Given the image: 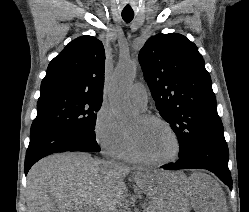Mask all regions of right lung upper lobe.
Wrapping results in <instances>:
<instances>
[{
    "instance_id": "1",
    "label": "right lung upper lobe",
    "mask_w": 249,
    "mask_h": 212,
    "mask_svg": "<svg viewBox=\"0 0 249 212\" xmlns=\"http://www.w3.org/2000/svg\"><path fill=\"white\" fill-rule=\"evenodd\" d=\"M105 51L92 36L71 41L49 64L40 96L53 93L84 94L102 99Z\"/></svg>"
}]
</instances>
